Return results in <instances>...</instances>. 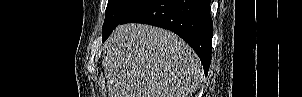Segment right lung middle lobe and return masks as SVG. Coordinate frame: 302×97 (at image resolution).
<instances>
[{"instance_id": "obj_1", "label": "right lung middle lobe", "mask_w": 302, "mask_h": 97, "mask_svg": "<svg viewBox=\"0 0 302 97\" xmlns=\"http://www.w3.org/2000/svg\"><path fill=\"white\" fill-rule=\"evenodd\" d=\"M144 0H108L105 21L102 28L104 42L120 22Z\"/></svg>"}]
</instances>
